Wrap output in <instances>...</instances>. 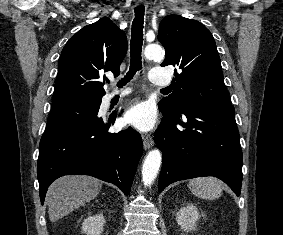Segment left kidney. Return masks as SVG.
<instances>
[{
	"instance_id": "5707ae66",
	"label": "left kidney",
	"mask_w": 283,
	"mask_h": 235,
	"mask_svg": "<svg viewBox=\"0 0 283 235\" xmlns=\"http://www.w3.org/2000/svg\"><path fill=\"white\" fill-rule=\"evenodd\" d=\"M198 209L192 204H188L177 212L176 220L184 231H191L199 219Z\"/></svg>"
}]
</instances>
